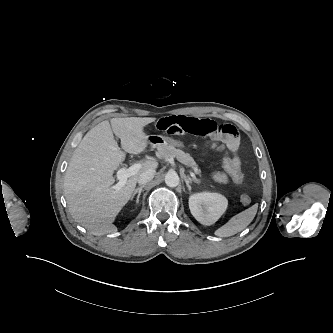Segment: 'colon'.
Masks as SVG:
<instances>
[{
    "label": "colon",
    "mask_w": 333,
    "mask_h": 333,
    "mask_svg": "<svg viewBox=\"0 0 333 333\" xmlns=\"http://www.w3.org/2000/svg\"><path fill=\"white\" fill-rule=\"evenodd\" d=\"M207 147L212 150L224 152L225 155L222 159L223 171L228 175V177L236 184H241L244 181V175L241 172V169L235 163L232 155H229V152L224 146L219 143L210 141L207 143ZM240 201L244 205H248L251 202V198L247 194H243L240 197Z\"/></svg>",
    "instance_id": "colon-1"
}]
</instances>
